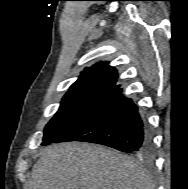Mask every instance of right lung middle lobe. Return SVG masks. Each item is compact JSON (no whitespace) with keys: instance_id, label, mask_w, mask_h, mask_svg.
<instances>
[{"instance_id":"obj_1","label":"right lung middle lobe","mask_w":188,"mask_h":189,"mask_svg":"<svg viewBox=\"0 0 188 189\" xmlns=\"http://www.w3.org/2000/svg\"><path fill=\"white\" fill-rule=\"evenodd\" d=\"M106 95L105 92L66 94L62 99L59 110L44 129L42 145L50 144Z\"/></svg>"}]
</instances>
